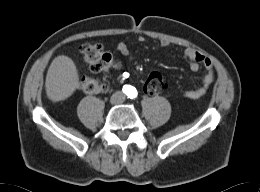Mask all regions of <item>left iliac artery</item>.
Instances as JSON below:
<instances>
[{
	"mask_svg": "<svg viewBox=\"0 0 260 192\" xmlns=\"http://www.w3.org/2000/svg\"><path fill=\"white\" fill-rule=\"evenodd\" d=\"M137 95H138L137 90L135 88H132V90L129 93V97L131 99H135L137 97Z\"/></svg>",
	"mask_w": 260,
	"mask_h": 192,
	"instance_id": "left-iliac-artery-1",
	"label": "left iliac artery"
}]
</instances>
